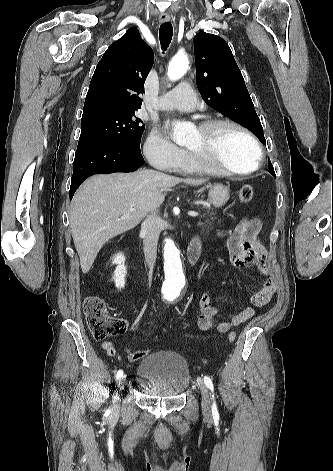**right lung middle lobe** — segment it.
<instances>
[{
	"mask_svg": "<svg viewBox=\"0 0 333 471\" xmlns=\"http://www.w3.org/2000/svg\"><path fill=\"white\" fill-rule=\"evenodd\" d=\"M135 110L109 111L82 118L79 143L107 141L140 151L145 129Z\"/></svg>",
	"mask_w": 333,
	"mask_h": 471,
	"instance_id": "obj_1",
	"label": "right lung middle lobe"
}]
</instances>
